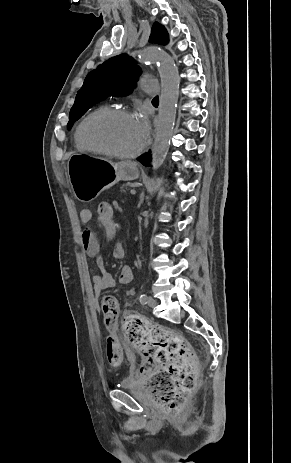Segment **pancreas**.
I'll list each match as a JSON object with an SVG mask.
<instances>
[{"label": "pancreas", "mask_w": 291, "mask_h": 463, "mask_svg": "<svg viewBox=\"0 0 291 463\" xmlns=\"http://www.w3.org/2000/svg\"><path fill=\"white\" fill-rule=\"evenodd\" d=\"M129 190H130V188H129L126 184H122V185L119 187V192H120V194H123V195H128V194H129Z\"/></svg>", "instance_id": "1"}]
</instances>
